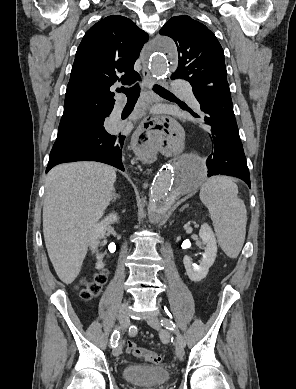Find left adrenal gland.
I'll list each match as a JSON object with an SVG mask.
<instances>
[{"label": "left adrenal gland", "instance_id": "a2214340", "mask_svg": "<svg viewBox=\"0 0 296 389\" xmlns=\"http://www.w3.org/2000/svg\"><path fill=\"white\" fill-rule=\"evenodd\" d=\"M188 207V205L186 204V205H184L181 209H180V212L181 211H183L185 208H187Z\"/></svg>", "mask_w": 296, "mask_h": 389}]
</instances>
